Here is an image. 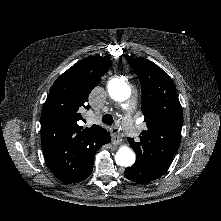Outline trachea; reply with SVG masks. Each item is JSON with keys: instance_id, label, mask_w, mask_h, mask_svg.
Here are the masks:
<instances>
[{"instance_id": "1", "label": "trachea", "mask_w": 221, "mask_h": 221, "mask_svg": "<svg viewBox=\"0 0 221 221\" xmlns=\"http://www.w3.org/2000/svg\"><path fill=\"white\" fill-rule=\"evenodd\" d=\"M113 117L111 114H105L103 117H102V122L104 124H107V125H112L113 124Z\"/></svg>"}]
</instances>
